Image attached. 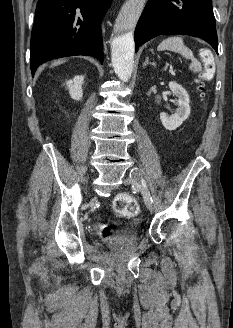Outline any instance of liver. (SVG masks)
<instances>
[{"label":"liver","mask_w":233,"mask_h":328,"mask_svg":"<svg viewBox=\"0 0 233 328\" xmlns=\"http://www.w3.org/2000/svg\"><path fill=\"white\" fill-rule=\"evenodd\" d=\"M63 61H61V60H59V61H56V62H54L53 64H52V66L53 65H58V64H60V63H62Z\"/></svg>","instance_id":"liver-1"}]
</instances>
